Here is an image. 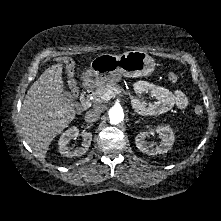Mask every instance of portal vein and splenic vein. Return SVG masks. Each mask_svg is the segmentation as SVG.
Wrapping results in <instances>:
<instances>
[{"mask_svg":"<svg viewBox=\"0 0 221 221\" xmlns=\"http://www.w3.org/2000/svg\"><path fill=\"white\" fill-rule=\"evenodd\" d=\"M116 94L113 92V91H107L106 93H105V97L107 98V99H110V98H112V97H114Z\"/></svg>","mask_w":221,"mask_h":221,"instance_id":"obj_1","label":"portal vein and splenic vein"}]
</instances>
